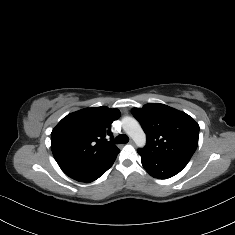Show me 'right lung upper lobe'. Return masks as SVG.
<instances>
[{"label":"right lung upper lobe","instance_id":"right-lung-upper-lobe-1","mask_svg":"<svg viewBox=\"0 0 235 235\" xmlns=\"http://www.w3.org/2000/svg\"><path fill=\"white\" fill-rule=\"evenodd\" d=\"M118 109L85 108L64 117L51 133V149L59 165L80 167L112 162L120 152L113 143L111 124Z\"/></svg>","mask_w":235,"mask_h":235}]
</instances>
